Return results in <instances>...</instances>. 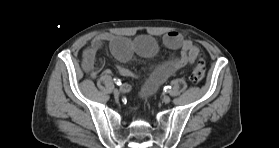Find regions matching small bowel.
<instances>
[{
	"label": "small bowel",
	"instance_id": "small-bowel-1",
	"mask_svg": "<svg viewBox=\"0 0 279 148\" xmlns=\"http://www.w3.org/2000/svg\"><path fill=\"white\" fill-rule=\"evenodd\" d=\"M162 42L168 49L180 50V55L162 63L150 73L140 92L144 98L152 95L162 83L181 68L195 63L200 52L194 42L176 31L166 33ZM106 43H109L113 55L124 63L131 61L135 56L152 58L159 50L158 43L150 36H140L131 40L114 36L111 33H100L93 38L90 46L83 52L81 60L83 71L90 73L92 78H96L102 70L101 63L97 61V54ZM117 70L124 76L133 75L131 70L121 65H117ZM125 88L130 87L126 85Z\"/></svg>",
	"mask_w": 279,
	"mask_h": 148
}]
</instances>
